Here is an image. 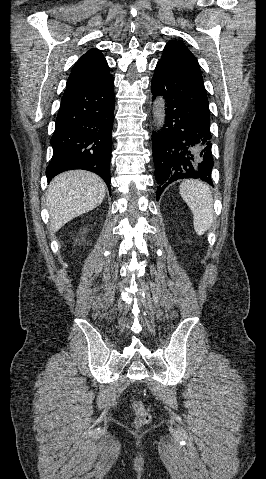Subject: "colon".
<instances>
[{
    "label": "colon",
    "instance_id": "5ec220e1",
    "mask_svg": "<svg viewBox=\"0 0 266 479\" xmlns=\"http://www.w3.org/2000/svg\"><path fill=\"white\" fill-rule=\"evenodd\" d=\"M132 408L135 414L134 423L136 426L141 427L150 422L151 414L141 401L133 402Z\"/></svg>",
    "mask_w": 266,
    "mask_h": 479
}]
</instances>
